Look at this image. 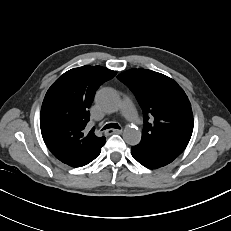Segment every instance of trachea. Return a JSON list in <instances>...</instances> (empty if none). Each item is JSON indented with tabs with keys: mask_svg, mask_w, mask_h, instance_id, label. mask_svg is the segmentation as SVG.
I'll return each instance as SVG.
<instances>
[{
	"mask_svg": "<svg viewBox=\"0 0 231 231\" xmlns=\"http://www.w3.org/2000/svg\"><path fill=\"white\" fill-rule=\"evenodd\" d=\"M110 128H115V129H120V126L117 123H110L105 125L102 130L110 129Z\"/></svg>",
	"mask_w": 231,
	"mask_h": 231,
	"instance_id": "3493384b",
	"label": "trachea"
}]
</instances>
